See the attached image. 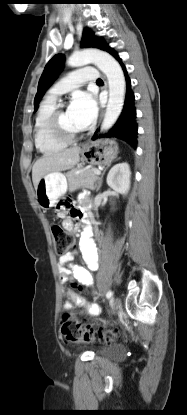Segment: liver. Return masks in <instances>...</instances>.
<instances>
[{
  "instance_id": "1",
  "label": "liver",
  "mask_w": 187,
  "mask_h": 415,
  "mask_svg": "<svg viewBox=\"0 0 187 415\" xmlns=\"http://www.w3.org/2000/svg\"><path fill=\"white\" fill-rule=\"evenodd\" d=\"M79 147H72L60 152L44 154L32 168V181L36 189L39 181L52 172H61L72 169L79 162Z\"/></svg>"
}]
</instances>
